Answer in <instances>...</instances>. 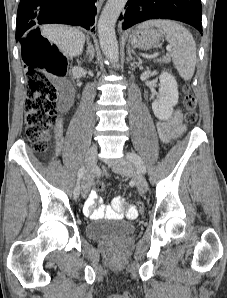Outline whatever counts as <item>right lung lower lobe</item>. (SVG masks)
<instances>
[{
  "label": "right lung lower lobe",
  "instance_id": "98d812e1",
  "mask_svg": "<svg viewBox=\"0 0 227 298\" xmlns=\"http://www.w3.org/2000/svg\"><path fill=\"white\" fill-rule=\"evenodd\" d=\"M97 0H21L16 20V41L37 24L60 23L94 31ZM39 34L38 29L27 39ZM40 35V34H39Z\"/></svg>",
  "mask_w": 227,
  "mask_h": 298
}]
</instances>
